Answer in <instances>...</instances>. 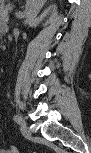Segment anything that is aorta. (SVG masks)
Masks as SVG:
<instances>
[{"label":"aorta","instance_id":"762f6f07","mask_svg":"<svg viewBox=\"0 0 91 153\" xmlns=\"http://www.w3.org/2000/svg\"><path fill=\"white\" fill-rule=\"evenodd\" d=\"M44 2L45 0H29L26 19L24 21L25 25H29L34 20L42 9Z\"/></svg>","mask_w":91,"mask_h":153}]
</instances>
